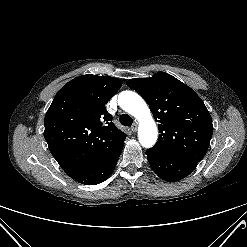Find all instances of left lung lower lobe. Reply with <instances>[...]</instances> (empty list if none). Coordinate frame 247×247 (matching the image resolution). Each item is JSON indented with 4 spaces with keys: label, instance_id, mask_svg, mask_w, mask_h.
I'll return each mask as SVG.
<instances>
[{
    "label": "left lung lower lobe",
    "instance_id": "left-lung-lower-lobe-1",
    "mask_svg": "<svg viewBox=\"0 0 247 247\" xmlns=\"http://www.w3.org/2000/svg\"><path fill=\"white\" fill-rule=\"evenodd\" d=\"M147 158L153 171L163 180L174 182L188 176L198 162L170 155L155 147L147 150Z\"/></svg>",
    "mask_w": 247,
    "mask_h": 247
}]
</instances>
